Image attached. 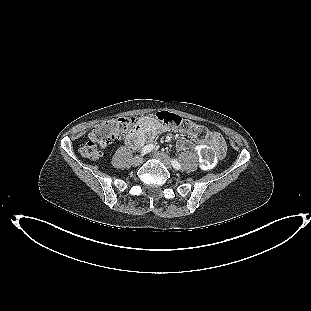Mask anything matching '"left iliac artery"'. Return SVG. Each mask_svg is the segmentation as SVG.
<instances>
[{
	"mask_svg": "<svg viewBox=\"0 0 311 311\" xmlns=\"http://www.w3.org/2000/svg\"><path fill=\"white\" fill-rule=\"evenodd\" d=\"M171 164H172V166H173L176 170L181 169V165H180V163H179L177 160L172 159Z\"/></svg>",
	"mask_w": 311,
	"mask_h": 311,
	"instance_id": "obj_1",
	"label": "left iliac artery"
}]
</instances>
